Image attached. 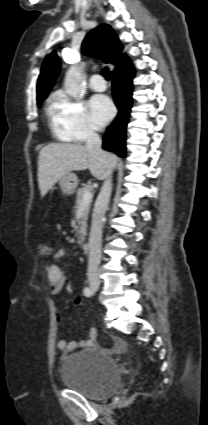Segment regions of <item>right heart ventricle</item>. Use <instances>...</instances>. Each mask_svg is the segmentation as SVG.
<instances>
[{"instance_id":"right-heart-ventricle-1","label":"right heart ventricle","mask_w":208,"mask_h":425,"mask_svg":"<svg viewBox=\"0 0 208 425\" xmlns=\"http://www.w3.org/2000/svg\"><path fill=\"white\" fill-rule=\"evenodd\" d=\"M48 113H49V115H50V118H51L52 124H53V126H54V128H55V131H56V134H57L58 138H59V139H61V140H63V141H69L70 139H69V138H68L65 134H63V133H61L60 131H58V130L56 129V127H55V120H54V116H53V113H52V106H50V107L48 108Z\"/></svg>"}]
</instances>
